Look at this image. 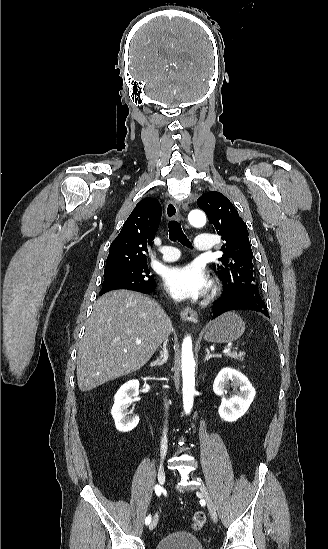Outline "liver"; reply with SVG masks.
Here are the masks:
<instances>
[{
    "mask_svg": "<svg viewBox=\"0 0 328 549\" xmlns=\"http://www.w3.org/2000/svg\"><path fill=\"white\" fill-rule=\"evenodd\" d=\"M172 323L160 305L135 291H111L93 305L77 357L80 391L144 367L172 333ZM139 339L141 345H136Z\"/></svg>",
    "mask_w": 328,
    "mask_h": 549,
    "instance_id": "1",
    "label": "liver"
}]
</instances>
